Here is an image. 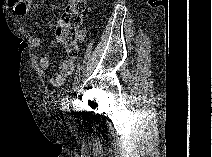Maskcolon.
<instances>
[{"label": "colon", "mask_w": 212, "mask_h": 157, "mask_svg": "<svg viewBox=\"0 0 212 157\" xmlns=\"http://www.w3.org/2000/svg\"><path fill=\"white\" fill-rule=\"evenodd\" d=\"M67 28L58 36V43L70 57L78 55L79 30L84 19V5L80 2L68 4L63 13Z\"/></svg>", "instance_id": "colon-1"}]
</instances>
